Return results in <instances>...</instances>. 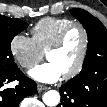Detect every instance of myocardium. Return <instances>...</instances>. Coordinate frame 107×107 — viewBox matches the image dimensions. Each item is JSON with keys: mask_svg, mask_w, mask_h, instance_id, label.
<instances>
[{"mask_svg": "<svg viewBox=\"0 0 107 107\" xmlns=\"http://www.w3.org/2000/svg\"><path fill=\"white\" fill-rule=\"evenodd\" d=\"M73 29H79L81 31L82 36H83V43H82L80 55L78 57V60L75 66L70 71L66 72L63 75L64 78L67 80L76 77L82 71L84 64L86 62L88 51H89V45H90V38H89V33H88L87 28L80 22H73L67 25L60 32V34L58 35L54 43L47 50V53H48L50 51H55V50L60 49L64 45L67 36Z\"/></svg>", "mask_w": 107, "mask_h": 107, "instance_id": "obj_1", "label": "myocardium"}]
</instances>
